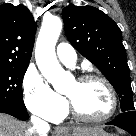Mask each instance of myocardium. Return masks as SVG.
Returning <instances> with one entry per match:
<instances>
[{
    "instance_id": "myocardium-1",
    "label": "myocardium",
    "mask_w": 136,
    "mask_h": 136,
    "mask_svg": "<svg viewBox=\"0 0 136 136\" xmlns=\"http://www.w3.org/2000/svg\"><path fill=\"white\" fill-rule=\"evenodd\" d=\"M76 81L79 83H84V82H89V81H99L103 83L109 92L110 99H111V106H110L109 111L100 117H88V116L81 114L77 110L73 102L68 98V108L74 118H76L79 121L86 122V123H102L110 119L115 114L117 107H118V98H117L115 88L113 87V85L107 78L101 75H98V74H85V75L79 76L76 79Z\"/></svg>"
}]
</instances>
